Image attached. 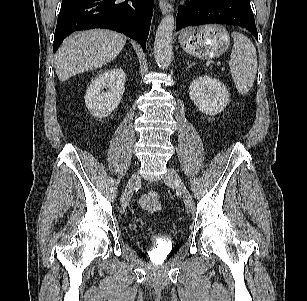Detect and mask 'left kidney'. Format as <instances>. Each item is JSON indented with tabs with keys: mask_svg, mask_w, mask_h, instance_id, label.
I'll list each match as a JSON object with an SVG mask.
<instances>
[{
	"mask_svg": "<svg viewBox=\"0 0 307 301\" xmlns=\"http://www.w3.org/2000/svg\"><path fill=\"white\" fill-rule=\"evenodd\" d=\"M189 97L202 113L208 115L220 113L230 101L225 85L208 75L200 76L190 84Z\"/></svg>",
	"mask_w": 307,
	"mask_h": 301,
	"instance_id": "left-kidney-1",
	"label": "left kidney"
}]
</instances>
